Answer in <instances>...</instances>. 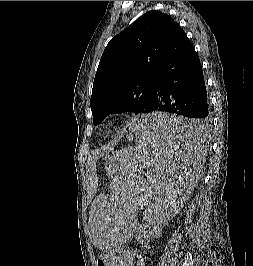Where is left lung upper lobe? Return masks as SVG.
Masks as SVG:
<instances>
[{
    "instance_id": "1",
    "label": "left lung upper lobe",
    "mask_w": 253,
    "mask_h": 266,
    "mask_svg": "<svg viewBox=\"0 0 253 266\" xmlns=\"http://www.w3.org/2000/svg\"><path fill=\"white\" fill-rule=\"evenodd\" d=\"M177 24L167 14L149 11L108 43L90 101L95 125L111 113H146L158 60Z\"/></svg>"
}]
</instances>
